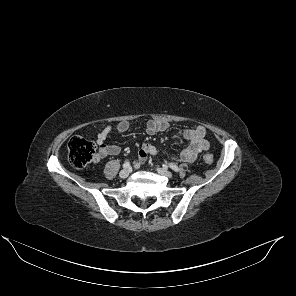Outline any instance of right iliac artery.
<instances>
[{
  "label": "right iliac artery",
  "mask_w": 296,
  "mask_h": 296,
  "mask_svg": "<svg viewBox=\"0 0 296 296\" xmlns=\"http://www.w3.org/2000/svg\"><path fill=\"white\" fill-rule=\"evenodd\" d=\"M130 167V163L127 161L123 164V168L127 169Z\"/></svg>",
  "instance_id": "right-iliac-artery-1"
}]
</instances>
